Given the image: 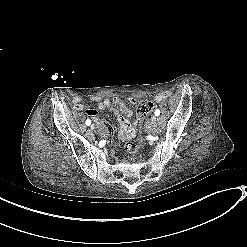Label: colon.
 I'll return each instance as SVG.
<instances>
[{
  "instance_id": "colon-1",
  "label": "colon",
  "mask_w": 247,
  "mask_h": 247,
  "mask_svg": "<svg viewBox=\"0 0 247 247\" xmlns=\"http://www.w3.org/2000/svg\"><path fill=\"white\" fill-rule=\"evenodd\" d=\"M153 109V103L148 100H142L137 104V115L139 118H142L149 114ZM139 145L135 142H128L126 144V150L129 152L132 160H135L134 154L138 150Z\"/></svg>"
}]
</instances>
